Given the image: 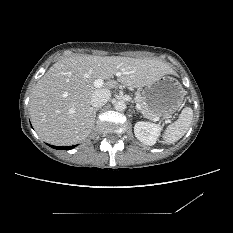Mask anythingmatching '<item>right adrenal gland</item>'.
I'll return each instance as SVG.
<instances>
[{"label": "right adrenal gland", "instance_id": "right-adrenal-gland-1", "mask_svg": "<svg viewBox=\"0 0 233 233\" xmlns=\"http://www.w3.org/2000/svg\"><path fill=\"white\" fill-rule=\"evenodd\" d=\"M98 111V108H95L94 110H93V115H94V119H95V117H96V112Z\"/></svg>", "mask_w": 233, "mask_h": 233}]
</instances>
